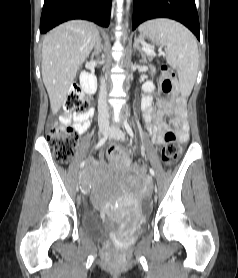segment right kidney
<instances>
[{
	"label": "right kidney",
	"mask_w": 238,
	"mask_h": 278,
	"mask_svg": "<svg viewBox=\"0 0 238 278\" xmlns=\"http://www.w3.org/2000/svg\"><path fill=\"white\" fill-rule=\"evenodd\" d=\"M80 85L86 93L94 94L97 90V79L94 75L83 71L80 74Z\"/></svg>",
	"instance_id": "ca27d5eb"
}]
</instances>
